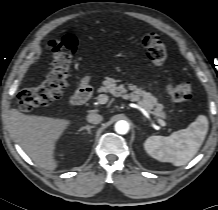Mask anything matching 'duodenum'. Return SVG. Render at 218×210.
I'll list each match as a JSON object with an SVG mask.
<instances>
[{
    "instance_id": "410a0bca",
    "label": "duodenum",
    "mask_w": 218,
    "mask_h": 210,
    "mask_svg": "<svg viewBox=\"0 0 218 210\" xmlns=\"http://www.w3.org/2000/svg\"><path fill=\"white\" fill-rule=\"evenodd\" d=\"M92 96V90L89 88L88 85H83L79 87L74 95V105H83L89 101Z\"/></svg>"
}]
</instances>
